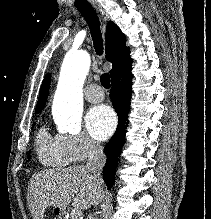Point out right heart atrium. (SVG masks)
I'll return each mask as SVG.
<instances>
[{
    "mask_svg": "<svg viewBox=\"0 0 211 219\" xmlns=\"http://www.w3.org/2000/svg\"><path fill=\"white\" fill-rule=\"evenodd\" d=\"M58 139L72 162H82L102 151L101 145L84 132L59 135Z\"/></svg>",
    "mask_w": 211,
    "mask_h": 219,
    "instance_id": "right-heart-atrium-1",
    "label": "right heart atrium"
}]
</instances>
